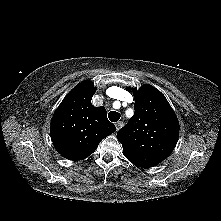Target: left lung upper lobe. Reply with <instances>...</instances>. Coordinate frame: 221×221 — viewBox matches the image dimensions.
Returning a JSON list of instances; mask_svg holds the SVG:
<instances>
[{
  "label": "left lung upper lobe",
  "instance_id": "obj_1",
  "mask_svg": "<svg viewBox=\"0 0 221 221\" xmlns=\"http://www.w3.org/2000/svg\"><path fill=\"white\" fill-rule=\"evenodd\" d=\"M129 90V89H128ZM134 92L135 113L117 133L125 157L149 168L167 158L179 137V122L164 95L151 85Z\"/></svg>",
  "mask_w": 221,
  "mask_h": 221
}]
</instances>
